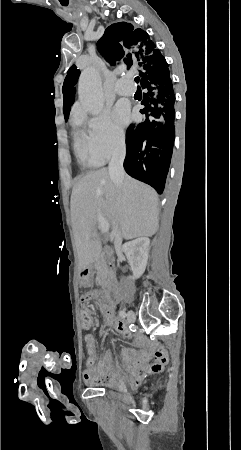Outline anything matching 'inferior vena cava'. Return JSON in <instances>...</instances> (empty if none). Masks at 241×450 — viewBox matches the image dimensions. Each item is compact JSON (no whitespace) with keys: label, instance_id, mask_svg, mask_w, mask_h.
<instances>
[{"label":"inferior vena cava","instance_id":"obj_1","mask_svg":"<svg viewBox=\"0 0 241 450\" xmlns=\"http://www.w3.org/2000/svg\"><path fill=\"white\" fill-rule=\"evenodd\" d=\"M126 156V148H125V136L122 138V146L117 150L116 154L112 156L111 162H109L108 172L109 176L113 182V186L118 194L117 196V208H119V204L121 202V196L119 194L121 190V186L123 184L125 172L123 168V162ZM111 238H116V240H121L122 234L120 232L119 226H114L111 234Z\"/></svg>","mask_w":241,"mask_h":450}]
</instances>
